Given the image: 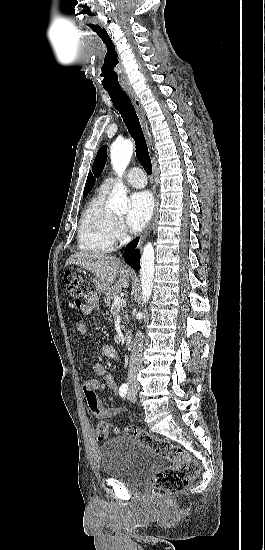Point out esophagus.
<instances>
[{
    "label": "esophagus",
    "instance_id": "obj_1",
    "mask_svg": "<svg viewBox=\"0 0 265 550\" xmlns=\"http://www.w3.org/2000/svg\"><path fill=\"white\" fill-rule=\"evenodd\" d=\"M127 94L131 98V100H132V102H133V104H134V106L137 110L138 117H139L142 129L144 131L148 146L151 148L153 140H152V137H151V135L148 131V128H147L146 116H145V111H144L143 105H142L140 99L138 98V96L136 95V93L133 90L127 91ZM153 175H154V177L156 175V166H155V164H153ZM155 220H156V210L154 212L153 218H152L149 226L145 229L144 233L142 234L140 242H142L149 235V233L151 232V230L154 226Z\"/></svg>",
    "mask_w": 265,
    "mask_h": 550
}]
</instances>
